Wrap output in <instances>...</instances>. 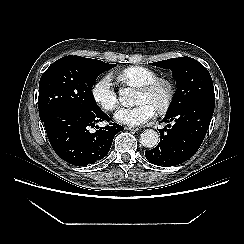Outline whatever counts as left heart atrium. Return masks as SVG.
<instances>
[{"instance_id":"39dd6f15","label":"left heart atrium","mask_w":244,"mask_h":244,"mask_svg":"<svg viewBox=\"0 0 244 244\" xmlns=\"http://www.w3.org/2000/svg\"><path fill=\"white\" fill-rule=\"evenodd\" d=\"M117 122L139 126L151 121L155 117V108L148 103H139L134 107H123L115 113Z\"/></svg>"}]
</instances>
